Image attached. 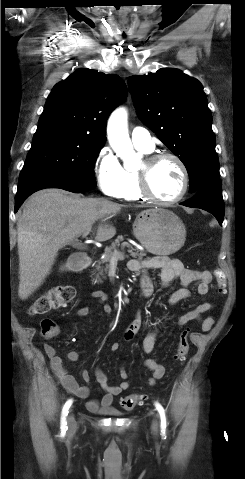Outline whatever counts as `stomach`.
Returning <instances> with one entry per match:
<instances>
[{"label":"stomach","instance_id":"stomach-1","mask_svg":"<svg viewBox=\"0 0 245 479\" xmlns=\"http://www.w3.org/2000/svg\"><path fill=\"white\" fill-rule=\"evenodd\" d=\"M133 233L147 251L155 255L175 253L186 240L182 220L163 208L146 209L137 214Z\"/></svg>","mask_w":245,"mask_h":479}]
</instances>
